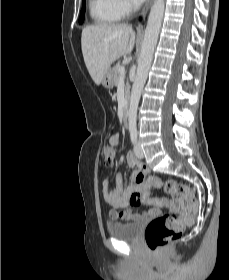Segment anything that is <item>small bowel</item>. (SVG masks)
<instances>
[{
  "label": "small bowel",
  "mask_w": 229,
  "mask_h": 280,
  "mask_svg": "<svg viewBox=\"0 0 229 280\" xmlns=\"http://www.w3.org/2000/svg\"><path fill=\"white\" fill-rule=\"evenodd\" d=\"M118 142L119 137L117 135L110 138V143L112 145L116 146ZM125 163L128 167L137 166L139 169L137 172L133 173L132 183L126 190L122 189V175L120 171H117L115 175L116 186L114 188H111L108 180H105L103 183V195L112 206V209L110 210V218L112 220L131 221L138 218H150L157 215L162 207L174 209L173 203L167 199L151 196L153 186L150 183H136V177L143 171V164L140 159H138L132 152H129L126 155ZM136 193L140 194L139 203H133L131 201L132 195ZM155 200H159L161 203L155 204ZM140 204L146 205L148 208L143 210L141 213L136 212L132 208L124 210L129 206H136Z\"/></svg>",
  "instance_id": "obj_1"
}]
</instances>
